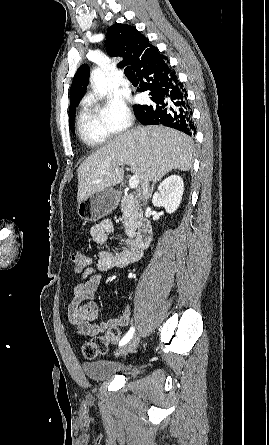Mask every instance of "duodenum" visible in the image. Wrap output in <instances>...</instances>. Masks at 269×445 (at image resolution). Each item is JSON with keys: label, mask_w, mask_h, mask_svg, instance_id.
Wrapping results in <instances>:
<instances>
[{"label": "duodenum", "mask_w": 269, "mask_h": 445, "mask_svg": "<svg viewBox=\"0 0 269 445\" xmlns=\"http://www.w3.org/2000/svg\"><path fill=\"white\" fill-rule=\"evenodd\" d=\"M137 197H140V194H137ZM152 236L153 229L151 222L149 220L141 221L133 240V248L138 251L145 249L151 242Z\"/></svg>", "instance_id": "duodenum-1"}]
</instances>
